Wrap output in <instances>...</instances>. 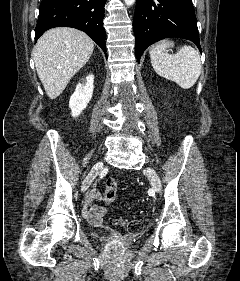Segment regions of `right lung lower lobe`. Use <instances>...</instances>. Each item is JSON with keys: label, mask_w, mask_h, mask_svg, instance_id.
<instances>
[{"label": "right lung lower lobe", "mask_w": 240, "mask_h": 281, "mask_svg": "<svg viewBox=\"0 0 240 281\" xmlns=\"http://www.w3.org/2000/svg\"><path fill=\"white\" fill-rule=\"evenodd\" d=\"M105 3L106 0H42L35 41L50 28L73 27L84 31L106 53Z\"/></svg>", "instance_id": "right-lung-lower-lobe-1"}]
</instances>
